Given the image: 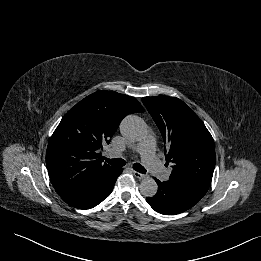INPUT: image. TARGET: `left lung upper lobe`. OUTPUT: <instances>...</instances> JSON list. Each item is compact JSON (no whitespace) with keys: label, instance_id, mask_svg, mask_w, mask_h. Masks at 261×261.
<instances>
[{"label":"left lung upper lobe","instance_id":"left-lung-upper-lobe-1","mask_svg":"<svg viewBox=\"0 0 261 261\" xmlns=\"http://www.w3.org/2000/svg\"><path fill=\"white\" fill-rule=\"evenodd\" d=\"M142 102L158 126L173 163L170 179L209 188L216 155L213 138L200 118L175 97H144Z\"/></svg>","mask_w":261,"mask_h":261}]
</instances>
